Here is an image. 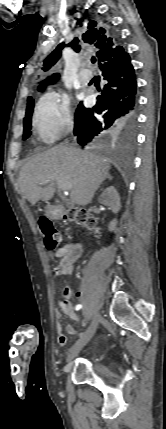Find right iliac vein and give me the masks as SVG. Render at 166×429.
<instances>
[{"instance_id": "63e3f726", "label": "right iliac vein", "mask_w": 166, "mask_h": 429, "mask_svg": "<svg viewBox=\"0 0 166 429\" xmlns=\"http://www.w3.org/2000/svg\"><path fill=\"white\" fill-rule=\"evenodd\" d=\"M99 321H100V315L98 313H96L94 318H93V321L91 322L88 329L85 331V333L77 340V342L70 349L68 356H67V362L68 363H70L73 360V358L82 350V348L93 337V335L95 334L96 329L98 327Z\"/></svg>"}]
</instances>
